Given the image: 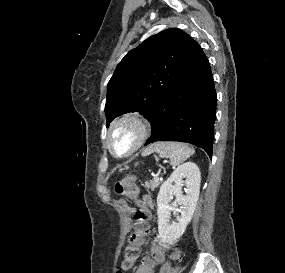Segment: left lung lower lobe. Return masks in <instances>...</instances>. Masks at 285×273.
I'll list each match as a JSON object with an SVG mask.
<instances>
[{"label": "left lung lower lobe", "mask_w": 285, "mask_h": 273, "mask_svg": "<svg viewBox=\"0 0 285 273\" xmlns=\"http://www.w3.org/2000/svg\"><path fill=\"white\" fill-rule=\"evenodd\" d=\"M216 100L209 61L193 40L181 72L147 117L152 136L146 145L187 142L203 148L211 158Z\"/></svg>", "instance_id": "1"}]
</instances>
